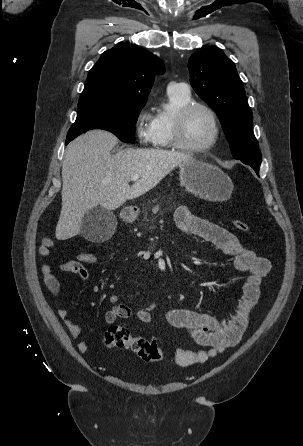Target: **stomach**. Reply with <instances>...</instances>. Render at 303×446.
<instances>
[{
    "mask_svg": "<svg viewBox=\"0 0 303 446\" xmlns=\"http://www.w3.org/2000/svg\"><path fill=\"white\" fill-rule=\"evenodd\" d=\"M180 184L193 195L211 202H223L231 197L233 183L220 168L192 159L180 165ZM138 209L125 210L122 217L133 220Z\"/></svg>",
    "mask_w": 303,
    "mask_h": 446,
    "instance_id": "0dacf381",
    "label": "stomach"
}]
</instances>
